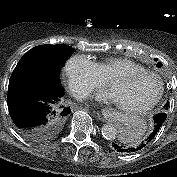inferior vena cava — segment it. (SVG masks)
Instances as JSON below:
<instances>
[{"label": "inferior vena cava", "instance_id": "1", "mask_svg": "<svg viewBox=\"0 0 177 177\" xmlns=\"http://www.w3.org/2000/svg\"><path fill=\"white\" fill-rule=\"evenodd\" d=\"M87 95H88V93H83L79 97H86Z\"/></svg>", "mask_w": 177, "mask_h": 177}]
</instances>
